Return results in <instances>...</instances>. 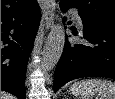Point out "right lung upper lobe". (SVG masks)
Instances as JSON below:
<instances>
[{
  "label": "right lung upper lobe",
  "mask_w": 115,
  "mask_h": 99,
  "mask_svg": "<svg viewBox=\"0 0 115 99\" xmlns=\"http://www.w3.org/2000/svg\"><path fill=\"white\" fill-rule=\"evenodd\" d=\"M32 1L34 0H1V15L23 9Z\"/></svg>",
  "instance_id": "1"
}]
</instances>
